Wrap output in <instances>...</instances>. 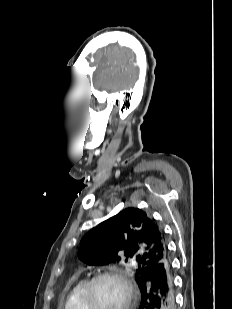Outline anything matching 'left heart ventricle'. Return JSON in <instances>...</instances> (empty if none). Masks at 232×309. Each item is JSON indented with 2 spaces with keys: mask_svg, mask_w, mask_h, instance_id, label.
Wrapping results in <instances>:
<instances>
[{
  "mask_svg": "<svg viewBox=\"0 0 232 309\" xmlns=\"http://www.w3.org/2000/svg\"><path fill=\"white\" fill-rule=\"evenodd\" d=\"M124 302V287L115 279L100 280L94 289L96 309H120Z\"/></svg>",
  "mask_w": 232,
  "mask_h": 309,
  "instance_id": "left-heart-ventricle-1",
  "label": "left heart ventricle"
}]
</instances>
